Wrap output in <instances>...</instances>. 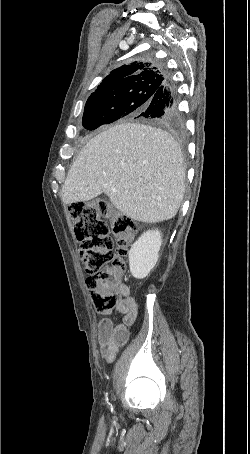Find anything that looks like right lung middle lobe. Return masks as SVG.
Listing matches in <instances>:
<instances>
[{
    "label": "right lung middle lobe",
    "instance_id": "dd1d6c3e",
    "mask_svg": "<svg viewBox=\"0 0 250 454\" xmlns=\"http://www.w3.org/2000/svg\"><path fill=\"white\" fill-rule=\"evenodd\" d=\"M161 89L152 84L141 85L119 98H105L85 105L82 125L93 130L126 116L141 118L140 114L149 106L154 94ZM147 119L158 123L154 119Z\"/></svg>",
    "mask_w": 250,
    "mask_h": 454
}]
</instances>
